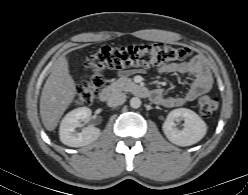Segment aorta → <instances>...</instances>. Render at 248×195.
<instances>
[{"instance_id": "1", "label": "aorta", "mask_w": 248, "mask_h": 195, "mask_svg": "<svg viewBox=\"0 0 248 195\" xmlns=\"http://www.w3.org/2000/svg\"><path fill=\"white\" fill-rule=\"evenodd\" d=\"M130 106L134 109H137L141 106V100L138 97H133L130 100Z\"/></svg>"}]
</instances>
